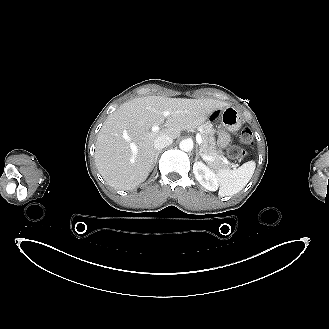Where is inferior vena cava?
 <instances>
[{
	"instance_id": "inferior-vena-cava-1",
	"label": "inferior vena cava",
	"mask_w": 329,
	"mask_h": 329,
	"mask_svg": "<svg viewBox=\"0 0 329 329\" xmlns=\"http://www.w3.org/2000/svg\"><path fill=\"white\" fill-rule=\"evenodd\" d=\"M172 143H173V139L170 136L160 135L154 141V149L159 151L171 145Z\"/></svg>"
}]
</instances>
